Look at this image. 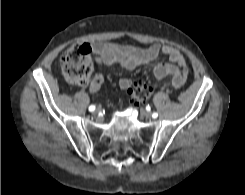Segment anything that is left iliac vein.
I'll return each mask as SVG.
<instances>
[{"mask_svg":"<svg viewBox=\"0 0 245 195\" xmlns=\"http://www.w3.org/2000/svg\"><path fill=\"white\" fill-rule=\"evenodd\" d=\"M146 117L147 118H150L151 117V114L150 113H146Z\"/></svg>","mask_w":245,"mask_h":195,"instance_id":"4c4485c4","label":"left iliac vein"}]
</instances>
